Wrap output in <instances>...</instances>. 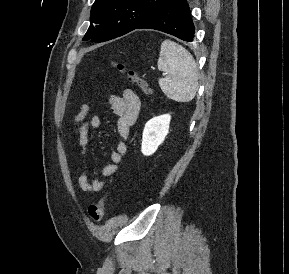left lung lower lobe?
Wrapping results in <instances>:
<instances>
[{"instance_id":"0a47b994","label":"left lung lower lobe","mask_w":289,"mask_h":274,"mask_svg":"<svg viewBox=\"0 0 289 274\" xmlns=\"http://www.w3.org/2000/svg\"><path fill=\"white\" fill-rule=\"evenodd\" d=\"M148 28L192 42L195 28L186 0H166L135 29Z\"/></svg>"}]
</instances>
